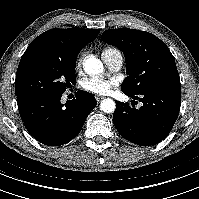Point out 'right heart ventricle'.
Wrapping results in <instances>:
<instances>
[{
  "instance_id": "obj_1",
  "label": "right heart ventricle",
  "mask_w": 199,
  "mask_h": 199,
  "mask_svg": "<svg viewBox=\"0 0 199 199\" xmlns=\"http://www.w3.org/2000/svg\"><path fill=\"white\" fill-rule=\"evenodd\" d=\"M112 50H115V49H113V48H106V49L103 51L102 55H103L104 53L109 52V51H112Z\"/></svg>"
}]
</instances>
